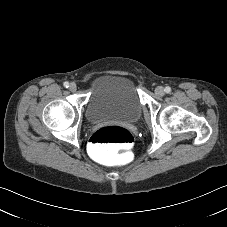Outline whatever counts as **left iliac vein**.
<instances>
[{
	"label": "left iliac vein",
	"mask_w": 227,
	"mask_h": 227,
	"mask_svg": "<svg viewBox=\"0 0 227 227\" xmlns=\"http://www.w3.org/2000/svg\"><path fill=\"white\" fill-rule=\"evenodd\" d=\"M155 93H156L157 95H159V96H163L164 93H165V92H164V88L161 87V86L157 87L156 90H155Z\"/></svg>",
	"instance_id": "4c4485c4"
}]
</instances>
